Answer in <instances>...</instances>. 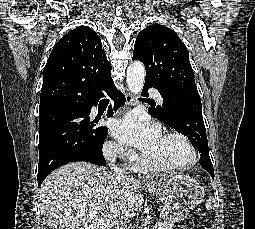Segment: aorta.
<instances>
[{
  "label": "aorta",
  "instance_id": "obj_1",
  "mask_svg": "<svg viewBox=\"0 0 255 229\" xmlns=\"http://www.w3.org/2000/svg\"><path fill=\"white\" fill-rule=\"evenodd\" d=\"M127 85L133 94H139L145 82V67L141 62L131 63L127 69Z\"/></svg>",
  "mask_w": 255,
  "mask_h": 229
}]
</instances>
